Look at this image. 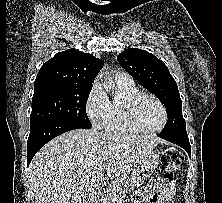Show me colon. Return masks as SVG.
Instances as JSON below:
<instances>
[{
    "label": "colon",
    "mask_w": 222,
    "mask_h": 203,
    "mask_svg": "<svg viewBox=\"0 0 222 203\" xmlns=\"http://www.w3.org/2000/svg\"><path fill=\"white\" fill-rule=\"evenodd\" d=\"M183 156L178 149L174 147H167L164 149L162 154V163L165 168V179L172 181L174 173L178 170L182 164Z\"/></svg>",
    "instance_id": "obj_1"
}]
</instances>
